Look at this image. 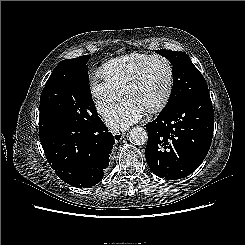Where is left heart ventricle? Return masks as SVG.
<instances>
[{
	"instance_id": "b2bd125f",
	"label": "left heart ventricle",
	"mask_w": 245,
	"mask_h": 245,
	"mask_svg": "<svg viewBox=\"0 0 245 245\" xmlns=\"http://www.w3.org/2000/svg\"><path fill=\"white\" fill-rule=\"evenodd\" d=\"M168 81L166 64L158 59L146 67L140 81L127 94L146 110L156 105L162 98Z\"/></svg>"
}]
</instances>
